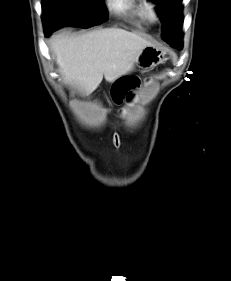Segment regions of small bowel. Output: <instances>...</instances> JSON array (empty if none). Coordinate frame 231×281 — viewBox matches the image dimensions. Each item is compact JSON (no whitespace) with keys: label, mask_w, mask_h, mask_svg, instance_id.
Segmentation results:
<instances>
[{"label":"small bowel","mask_w":231,"mask_h":281,"mask_svg":"<svg viewBox=\"0 0 231 281\" xmlns=\"http://www.w3.org/2000/svg\"><path fill=\"white\" fill-rule=\"evenodd\" d=\"M142 79L133 74H125L116 78L111 85V96L117 103L124 99L133 98L135 91L140 87Z\"/></svg>","instance_id":"1"}]
</instances>
